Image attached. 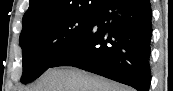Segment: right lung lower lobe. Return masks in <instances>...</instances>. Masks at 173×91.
Masks as SVG:
<instances>
[{"mask_svg": "<svg viewBox=\"0 0 173 91\" xmlns=\"http://www.w3.org/2000/svg\"><path fill=\"white\" fill-rule=\"evenodd\" d=\"M151 18L149 0H100L88 29L50 67L74 66L148 91Z\"/></svg>", "mask_w": 173, "mask_h": 91, "instance_id": "right-lung-lower-lobe-1", "label": "right lung lower lobe"}]
</instances>
